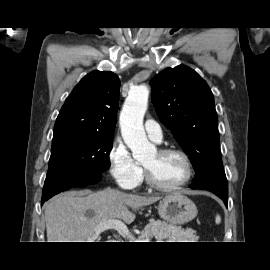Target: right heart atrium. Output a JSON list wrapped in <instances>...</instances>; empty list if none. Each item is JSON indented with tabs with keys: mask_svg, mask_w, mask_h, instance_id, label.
<instances>
[{
	"mask_svg": "<svg viewBox=\"0 0 270 270\" xmlns=\"http://www.w3.org/2000/svg\"><path fill=\"white\" fill-rule=\"evenodd\" d=\"M108 163L111 176L122 188L133 189L140 183L142 168L122 140L113 142L108 153Z\"/></svg>",
	"mask_w": 270,
	"mask_h": 270,
	"instance_id": "right-heart-atrium-1",
	"label": "right heart atrium"
}]
</instances>
